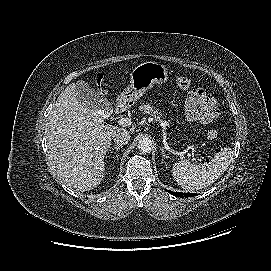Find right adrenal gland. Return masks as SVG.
Instances as JSON below:
<instances>
[{"label": "right adrenal gland", "mask_w": 271, "mask_h": 271, "mask_svg": "<svg viewBox=\"0 0 271 271\" xmlns=\"http://www.w3.org/2000/svg\"><path fill=\"white\" fill-rule=\"evenodd\" d=\"M123 146H121V145H111L110 144V146L108 147V149L107 150H116V151H118V150H120L121 148H122Z\"/></svg>", "instance_id": "right-adrenal-gland-1"}]
</instances>
